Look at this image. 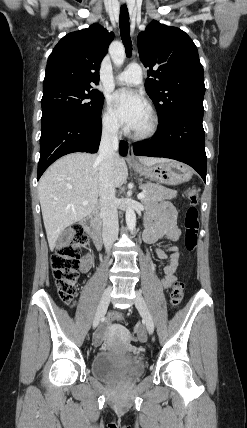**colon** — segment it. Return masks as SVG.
<instances>
[{
	"mask_svg": "<svg viewBox=\"0 0 247 428\" xmlns=\"http://www.w3.org/2000/svg\"><path fill=\"white\" fill-rule=\"evenodd\" d=\"M186 196L189 202L184 219V248L191 252L197 245L199 214L197 210L198 195L197 191L191 187L186 191ZM89 237L84 228L80 225L71 227L67 239L58 246L56 251L51 256V267L55 279L57 291L61 300L67 304H73L76 292L77 282L79 278V252L80 248L87 245ZM184 295V284L177 281L173 284L170 293L171 304L178 306ZM124 312H111L108 315L109 321L125 320ZM141 333V329H138Z\"/></svg>",
	"mask_w": 247,
	"mask_h": 428,
	"instance_id": "obj_1",
	"label": "colon"
}]
</instances>
